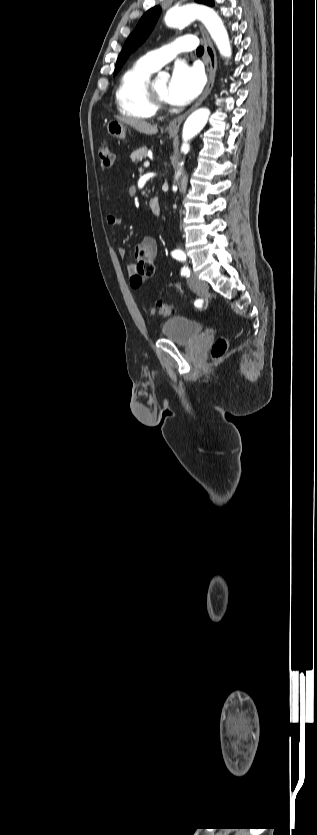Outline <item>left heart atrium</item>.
<instances>
[{
  "mask_svg": "<svg viewBox=\"0 0 317 835\" xmlns=\"http://www.w3.org/2000/svg\"><path fill=\"white\" fill-rule=\"evenodd\" d=\"M203 83V75L199 68L179 63L175 66L168 84L167 101L173 105H186L198 96Z\"/></svg>",
  "mask_w": 317,
  "mask_h": 835,
  "instance_id": "39dd6f15",
  "label": "left heart atrium"
}]
</instances>
